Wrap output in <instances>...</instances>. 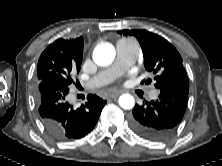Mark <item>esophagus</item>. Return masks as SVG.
<instances>
[{
  "label": "esophagus",
  "mask_w": 222,
  "mask_h": 166,
  "mask_svg": "<svg viewBox=\"0 0 222 166\" xmlns=\"http://www.w3.org/2000/svg\"><path fill=\"white\" fill-rule=\"evenodd\" d=\"M122 93V91H113L111 93L108 94L109 98H115L117 96H119Z\"/></svg>",
  "instance_id": "1"
}]
</instances>
